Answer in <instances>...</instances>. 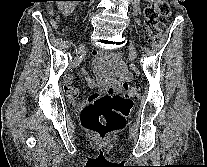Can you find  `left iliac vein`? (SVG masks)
I'll use <instances>...</instances> for the list:
<instances>
[{
	"instance_id": "1",
	"label": "left iliac vein",
	"mask_w": 207,
	"mask_h": 167,
	"mask_svg": "<svg viewBox=\"0 0 207 167\" xmlns=\"http://www.w3.org/2000/svg\"><path fill=\"white\" fill-rule=\"evenodd\" d=\"M129 49H130V53L133 56V58H136V51H135L134 47L133 46H130Z\"/></svg>"
}]
</instances>
